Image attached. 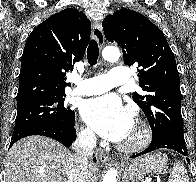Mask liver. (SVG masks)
Segmentation results:
<instances>
[{
  "label": "liver",
  "mask_w": 196,
  "mask_h": 182,
  "mask_svg": "<svg viewBox=\"0 0 196 182\" xmlns=\"http://www.w3.org/2000/svg\"><path fill=\"white\" fill-rule=\"evenodd\" d=\"M73 157L66 147L44 136L16 142L7 155L6 182H68ZM99 168L88 164V181L95 182Z\"/></svg>",
  "instance_id": "obj_1"
}]
</instances>
